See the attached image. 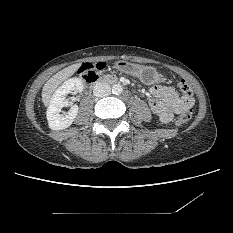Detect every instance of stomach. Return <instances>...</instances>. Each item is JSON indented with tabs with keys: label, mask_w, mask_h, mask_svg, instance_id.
Segmentation results:
<instances>
[{
	"label": "stomach",
	"mask_w": 233,
	"mask_h": 233,
	"mask_svg": "<svg viewBox=\"0 0 233 233\" xmlns=\"http://www.w3.org/2000/svg\"><path fill=\"white\" fill-rule=\"evenodd\" d=\"M115 68L123 73L137 77L146 85H153L164 82L163 76L153 67L139 66L124 60L115 62Z\"/></svg>",
	"instance_id": "stomach-1"
}]
</instances>
